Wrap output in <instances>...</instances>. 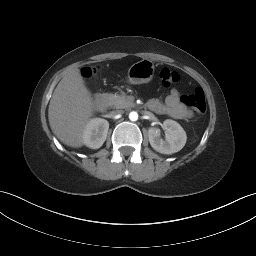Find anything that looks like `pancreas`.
Returning a JSON list of instances; mask_svg holds the SVG:
<instances>
[{
  "mask_svg": "<svg viewBox=\"0 0 256 256\" xmlns=\"http://www.w3.org/2000/svg\"><path fill=\"white\" fill-rule=\"evenodd\" d=\"M104 96L108 102V105L113 108H126L132 104L129 97L124 94L107 93Z\"/></svg>",
  "mask_w": 256,
  "mask_h": 256,
  "instance_id": "1",
  "label": "pancreas"
}]
</instances>
